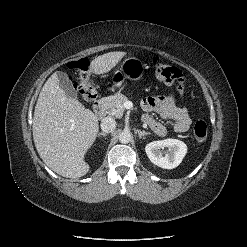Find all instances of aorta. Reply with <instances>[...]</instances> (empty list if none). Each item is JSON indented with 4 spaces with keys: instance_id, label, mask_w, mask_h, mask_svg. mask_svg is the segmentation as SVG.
I'll return each mask as SVG.
<instances>
[{
    "instance_id": "762f6f07",
    "label": "aorta",
    "mask_w": 247,
    "mask_h": 247,
    "mask_svg": "<svg viewBox=\"0 0 247 247\" xmlns=\"http://www.w3.org/2000/svg\"><path fill=\"white\" fill-rule=\"evenodd\" d=\"M132 135L128 131H123L119 134V141L123 144H127L131 141Z\"/></svg>"
}]
</instances>
